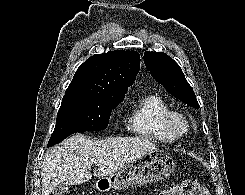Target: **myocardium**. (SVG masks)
I'll list each match as a JSON object with an SVG mask.
<instances>
[{"mask_svg":"<svg viewBox=\"0 0 245 195\" xmlns=\"http://www.w3.org/2000/svg\"><path fill=\"white\" fill-rule=\"evenodd\" d=\"M163 128L173 138L177 139L188 134L190 123L187 117L175 110H170L162 119Z\"/></svg>","mask_w":245,"mask_h":195,"instance_id":"obj_1","label":"myocardium"}]
</instances>
